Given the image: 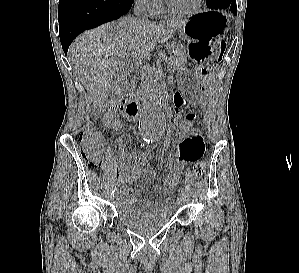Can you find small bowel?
Segmentation results:
<instances>
[{
	"label": "small bowel",
	"instance_id": "small-bowel-1",
	"mask_svg": "<svg viewBox=\"0 0 299 273\" xmlns=\"http://www.w3.org/2000/svg\"><path fill=\"white\" fill-rule=\"evenodd\" d=\"M174 104L180 108L183 104V98L180 94L174 95ZM104 124L114 130H122L126 127L119 119L118 114L113 110H108L103 117ZM205 151V144L201 135L194 131L188 138L178 142L177 155L175 160L167 163V177L162 185L163 200L157 205L153 198L149 197L140 206L137 205V199L140 193L139 187L128 188L127 184L134 182L141 173L145 165V157L129 153L125 150L121 152L122 159H130V164L120 161L116 168L118 180L119 206L122 210L133 213L141 217L152 215L158 210H173L175 207L172 192L177 186L182 174L183 168L191 163L199 161Z\"/></svg>",
	"mask_w": 299,
	"mask_h": 273
}]
</instances>
